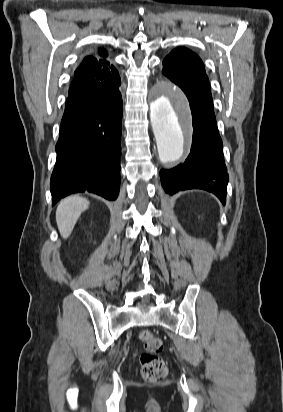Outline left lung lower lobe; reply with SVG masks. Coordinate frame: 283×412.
Instances as JSON below:
<instances>
[{"mask_svg": "<svg viewBox=\"0 0 283 412\" xmlns=\"http://www.w3.org/2000/svg\"><path fill=\"white\" fill-rule=\"evenodd\" d=\"M171 81L184 91L189 100L193 117V140L190 154L183 164L160 171L162 186L171 195L186 189L206 190L225 204L229 177L211 90L184 77Z\"/></svg>", "mask_w": 283, "mask_h": 412, "instance_id": "obj_1", "label": "left lung lower lobe"}]
</instances>
